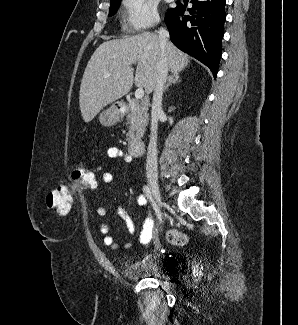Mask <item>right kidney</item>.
<instances>
[{
  "instance_id": "obj_1",
  "label": "right kidney",
  "mask_w": 298,
  "mask_h": 325,
  "mask_svg": "<svg viewBox=\"0 0 298 325\" xmlns=\"http://www.w3.org/2000/svg\"><path fill=\"white\" fill-rule=\"evenodd\" d=\"M171 110H173V106H170V112H171Z\"/></svg>"
}]
</instances>
